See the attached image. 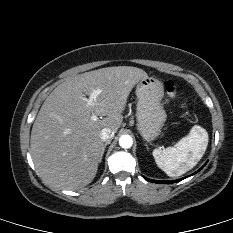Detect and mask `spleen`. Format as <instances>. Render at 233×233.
Masks as SVG:
<instances>
[{
  "instance_id": "spleen-1",
  "label": "spleen",
  "mask_w": 233,
  "mask_h": 233,
  "mask_svg": "<svg viewBox=\"0 0 233 233\" xmlns=\"http://www.w3.org/2000/svg\"><path fill=\"white\" fill-rule=\"evenodd\" d=\"M208 145V133L194 125L190 133L174 147L154 149L152 155L157 166L170 177H178L191 170L203 157Z\"/></svg>"
}]
</instances>
